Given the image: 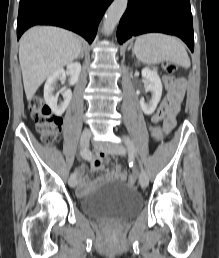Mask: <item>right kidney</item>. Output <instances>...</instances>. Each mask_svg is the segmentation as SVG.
<instances>
[{"label": "right kidney", "instance_id": "1", "mask_svg": "<svg viewBox=\"0 0 219 258\" xmlns=\"http://www.w3.org/2000/svg\"><path fill=\"white\" fill-rule=\"evenodd\" d=\"M67 72L71 77L70 83L72 85L76 84L81 72V64L78 62L68 64ZM65 78V70L58 69L47 78L44 85V100L52 112L57 116H61L65 112L72 98L71 90H66L63 92L64 101L58 104L57 96L53 94L57 80L62 81L65 80Z\"/></svg>", "mask_w": 219, "mask_h": 258}]
</instances>
